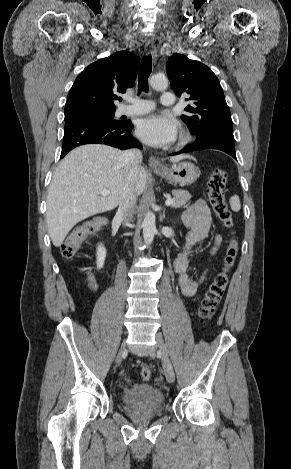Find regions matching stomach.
I'll use <instances>...</instances> for the list:
<instances>
[{
  "label": "stomach",
  "mask_w": 291,
  "mask_h": 469,
  "mask_svg": "<svg viewBox=\"0 0 291 469\" xmlns=\"http://www.w3.org/2000/svg\"><path fill=\"white\" fill-rule=\"evenodd\" d=\"M154 172L165 178L168 182L182 186L194 183L199 176L198 168L188 161L174 164L171 168L163 167L161 170L156 169Z\"/></svg>",
  "instance_id": "1"
}]
</instances>
